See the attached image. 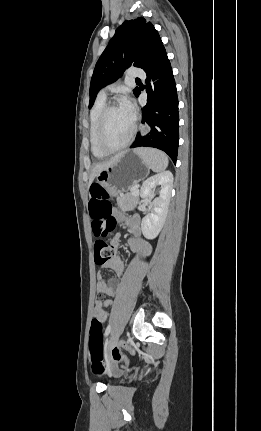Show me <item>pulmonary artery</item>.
<instances>
[{"label": "pulmonary artery", "mask_w": 261, "mask_h": 431, "mask_svg": "<svg viewBox=\"0 0 261 431\" xmlns=\"http://www.w3.org/2000/svg\"><path fill=\"white\" fill-rule=\"evenodd\" d=\"M128 74L130 77H133V78H144L145 77V72L139 68H131L128 71ZM101 94L104 95V92L102 91Z\"/></svg>", "instance_id": "obj_1"}]
</instances>
